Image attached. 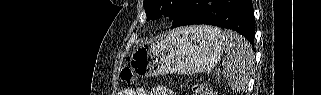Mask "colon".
<instances>
[{
  "label": "colon",
  "mask_w": 321,
  "mask_h": 95,
  "mask_svg": "<svg viewBox=\"0 0 321 95\" xmlns=\"http://www.w3.org/2000/svg\"><path fill=\"white\" fill-rule=\"evenodd\" d=\"M120 77L123 83L126 85H134L137 83L138 78L129 68H123L120 72ZM192 90L196 94L202 95H215L216 93L212 91L208 86L204 84H195Z\"/></svg>",
  "instance_id": "colon-1"
}]
</instances>
